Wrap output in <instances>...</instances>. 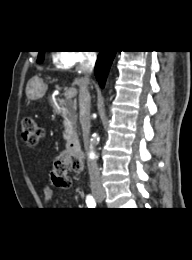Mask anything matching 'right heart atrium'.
<instances>
[{"mask_svg": "<svg viewBox=\"0 0 192 260\" xmlns=\"http://www.w3.org/2000/svg\"><path fill=\"white\" fill-rule=\"evenodd\" d=\"M89 58L88 52L64 50L56 54V63L63 69H69L88 61Z\"/></svg>", "mask_w": 192, "mask_h": 260, "instance_id": "obj_1", "label": "right heart atrium"}]
</instances>
